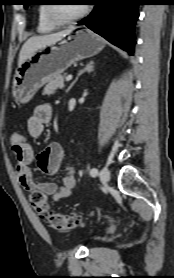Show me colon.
Masks as SVG:
<instances>
[{
	"mask_svg": "<svg viewBox=\"0 0 174 278\" xmlns=\"http://www.w3.org/2000/svg\"><path fill=\"white\" fill-rule=\"evenodd\" d=\"M26 141V138L20 133H13L11 143L20 145ZM29 201L35 212L46 220L48 226L55 230H69L82 224V219L78 215H63L52 213L49 210L46 195L40 191L29 193Z\"/></svg>",
	"mask_w": 174,
	"mask_h": 278,
	"instance_id": "1",
	"label": "colon"
}]
</instances>
